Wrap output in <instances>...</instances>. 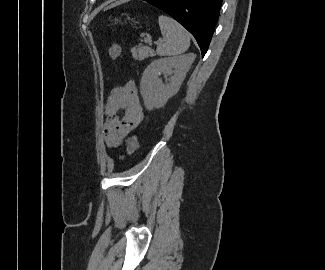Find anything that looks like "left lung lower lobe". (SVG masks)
Segmentation results:
<instances>
[{
  "label": "left lung lower lobe",
  "mask_w": 325,
  "mask_h": 270,
  "mask_svg": "<svg viewBox=\"0 0 325 270\" xmlns=\"http://www.w3.org/2000/svg\"><path fill=\"white\" fill-rule=\"evenodd\" d=\"M164 11L196 39L202 53L206 54L220 14L222 0H144Z\"/></svg>",
  "instance_id": "1"
}]
</instances>
